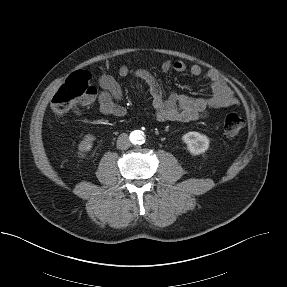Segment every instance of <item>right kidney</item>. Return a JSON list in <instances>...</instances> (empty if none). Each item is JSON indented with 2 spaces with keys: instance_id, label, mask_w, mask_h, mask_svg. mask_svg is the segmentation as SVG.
Segmentation results:
<instances>
[{
  "instance_id": "ca27d5eb",
  "label": "right kidney",
  "mask_w": 287,
  "mask_h": 287,
  "mask_svg": "<svg viewBox=\"0 0 287 287\" xmlns=\"http://www.w3.org/2000/svg\"><path fill=\"white\" fill-rule=\"evenodd\" d=\"M95 139L96 138L93 135H86L78 146L80 153L83 154L84 152L90 151Z\"/></svg>"
}]
</instances>
